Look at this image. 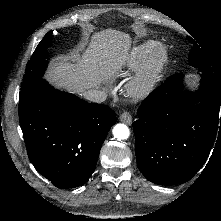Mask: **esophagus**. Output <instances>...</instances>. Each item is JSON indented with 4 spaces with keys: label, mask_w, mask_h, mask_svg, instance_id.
Here are the masks:
<instances>
[{
    "label": "esophagus",
    "mask_w": 221,
    "mask_h": 221,
    "mask_svg": "<svg viewBox=\"0 0 221 221\" xmlns=\"http://www.w3.org/2000/svg\"><path fill=\"white\" fill-rule=\"evenodd\" d=\"M120 121L130 125L132 123V116L129 112H123L120 115Z\"/></svg>",
    "instance_id": "1"
}]
</instances>
